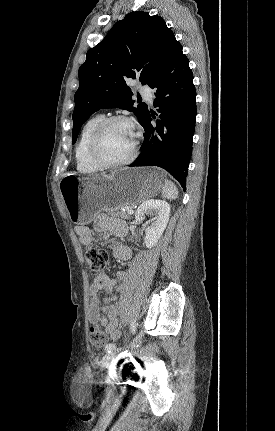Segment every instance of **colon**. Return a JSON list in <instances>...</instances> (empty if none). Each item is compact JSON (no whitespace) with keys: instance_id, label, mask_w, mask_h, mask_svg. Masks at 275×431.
I'll list each match as a JSON object with an SVG mask.
<instances>
[{"instance_id":"colon-1","label":"colon","mask_w":275,"mask_h":431,"mask_svg":"<svg viewBox=\"0 0 275 431\" xmlns=\"http://www.w3.org/2000/svg\"><path fill=\"white\" fill-rule=\"evenodd\" d=\"M109 260L108 252L102 248H89L86 261L91 273L100 275ZM89 339L93 347L100 349L107 343V335L100 324L93 323L89 328Z\"/></svg>"}]
</instances>
